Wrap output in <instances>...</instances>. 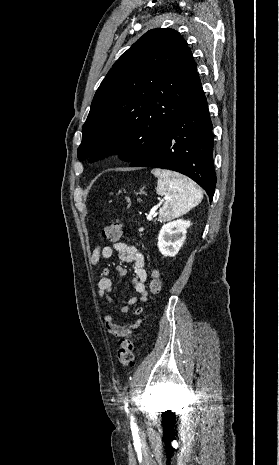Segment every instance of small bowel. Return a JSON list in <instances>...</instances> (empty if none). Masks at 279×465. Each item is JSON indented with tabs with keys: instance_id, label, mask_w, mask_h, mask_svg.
<instances>
[{
	"instance_id": "1",
	"label": "small bowel",
	"mask_w": 279,
	"mask_h": 465,
	"mask_svg": "<svg viewBox=\"0 0 279 465\" xmlns=\"http://www.w3.org/2000/svg\"><path fill=\"white\" fill-rule=\"evenodd\" d=\"M115 252L118 253V257L121 261L132 263L134 278L132 284L135 292L139 295L138 297H131L125 305L121 307V312H128L129 309L134 306L138 301H146L148 294L146 291V282H147V272L145 270V258L142 252H140L136 247L128 245L124 242H114L112 245L97 246L91 255L90 262L92 265H97L100 259H112L115 255ZM116 271L120 275L126 274V269L118 266ZM111 270L109 268H104L102 271V277L98 282V298L106 301L107 303L113 304L114 301L110 296L113 287V281L110 277ZM144 309L142 307L135 310L136 315L143 313ZM104 326L107 332L115 337L121 338L127 334L133 333L135 330L140 328L142 324V319L137 318L126 324H117L114 321L113 316L105 314L103 316Z\"/></svg>"
}]
</instances>
